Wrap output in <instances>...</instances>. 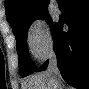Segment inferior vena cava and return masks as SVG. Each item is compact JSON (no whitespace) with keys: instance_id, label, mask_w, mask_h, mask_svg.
Masks as SVG:
<instances>
[{"instance_id":"602c4592","label":"inferior vena cava","mask_w":89,"mask_h":89,"mask_svg":"<svg viewBox=\"0 0 89 89\" xmlns=\"http://www.w3.org/2000/svg\"><path fill=\"white\" fill-rule=\"evenodd\" d=\"M48 73L59 77L60 76V72L57 66V59H56V55L54 53H52L50 55V59H49V65H48V69H47Z\"/></svg>"}]
</instances>
